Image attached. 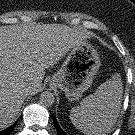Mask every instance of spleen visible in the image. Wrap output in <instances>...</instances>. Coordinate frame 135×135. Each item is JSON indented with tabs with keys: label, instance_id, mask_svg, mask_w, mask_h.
I'll use <instances>...</instances> for the list:
<instances>
[{
	"label": "spleen",
	"instance_id": "3e777b00",
	"mask_svg": "<svg viewBox=\"0 0 135 135\" xmlns=\"http://www.w3.org/2000/svg\"><path fill=\"white\" fill-rule=\"evenodd\" d=\"M122 96L123 83L115 74L70 110V120L85 135H107L120 112Z\"/></svg>",
	"mask_w": 135,
	"mask_h": 135
}]
</instances>
